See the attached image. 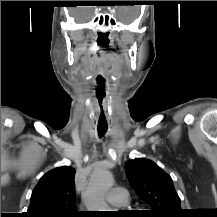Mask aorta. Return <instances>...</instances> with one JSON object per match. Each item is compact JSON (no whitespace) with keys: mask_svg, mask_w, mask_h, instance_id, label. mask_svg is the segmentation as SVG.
Listing matches in <instances>:
<instances>
[{"mask_svg":"<svg viewBox=\"0 0 217 217\" xmlns=\"http://www.w3.org/2000/svg\"><path fill=\"white\" fill-rule=\"evenodd\" d=\"M113 183L114 180L110 171L104 168H97L93 171L83 194L88 211H110L104 198Z\"/></svg>","mask_w":217,"mask_h":217,"instance_id":"aorta-1","label":"aorta"}]
</instances>
